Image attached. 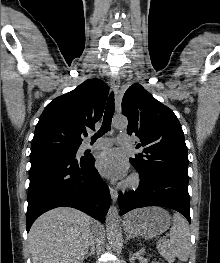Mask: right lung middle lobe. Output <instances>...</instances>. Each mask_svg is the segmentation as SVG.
Wrapping results in <instances>:
<instances>
[{
	"label": "right lung middle lobe",
	"instance_id": "right-lung-middle-lobe-1",
	"mask_svg": "<svg viewBox=\"0 0 220 263\" xmlns=\"http://www.w3.org/2000/svg\"><path fill=\"white\" fill-rule=\"evenodd\" d=\"M78 148H72V149H62V150H53L52 152L65 156L69 159H76V152Z\"/></svg>",
	"mask_w": 220,
	"mask_h": 263
}]
</instances>
